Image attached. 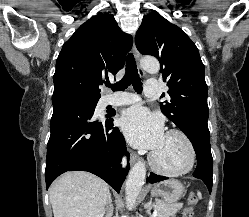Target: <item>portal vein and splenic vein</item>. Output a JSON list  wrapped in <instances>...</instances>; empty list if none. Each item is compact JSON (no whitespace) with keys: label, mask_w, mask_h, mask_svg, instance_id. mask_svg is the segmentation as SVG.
<instances>
[{"label":"portal vein and splenic vein","mask_w":249,"mask_h":217,"mask_svg":"<svg viewBox=\"0 0 249 217\" xmlns=\"http://www.w3.org/2000/svg\"><path fill=\"white\" fill-rule=\"evenodd\" d=\"M152 217H157V210H154Z\"/></svg>","instance_id":"1"}]
</instances>
